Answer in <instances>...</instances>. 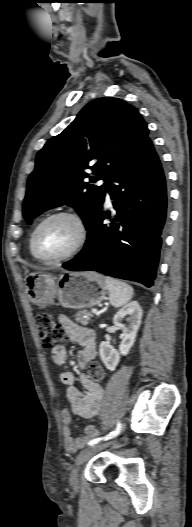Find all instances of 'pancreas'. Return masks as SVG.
Listing matches in <instances>:
<instances>
[{
  "label": "pancreas",
  "instance_id": "cf45deb5",
  "mask_svg": "<svg viewBox=\"0 0 192 527\" xmlns=\"http://www.w3.org/2000/svg\"><path fill=\"white\" fill-rule=\"evenodd\" d=\"M92 316V314L87 311L86 309L78 311L75 314V320L83 325H87L89 323V319Z\"/></svg>",
  "mask_w": 192,
  "mask_h": 527
}]
</instances>
